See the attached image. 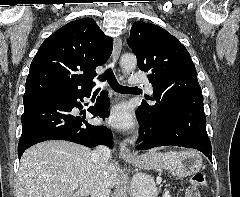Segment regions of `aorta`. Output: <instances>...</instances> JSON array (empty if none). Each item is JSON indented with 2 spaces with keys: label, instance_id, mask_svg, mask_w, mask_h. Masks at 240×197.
Instances as JSON below:
<instances>
[{
  "label": "aorta",
  "instance_id": "aorta-1",
  "mask_svg": "<svg viewBox=\"0 0 240 197\" xmlns=\"http://www.w3.org/2000/svg\"><path fill=\"white\" fill-rule=\"evenodd\" d=\"M121 67L125 74L131 73L137 66V58L133 54H124L121 57ZM142 184H143V193L142 196L145 197L147 193L150 192V188L152 186L150 179L148 177H142ZM126 197V196H124Z\"/></svg>",
  "mask_w": 240,
  "mask_h": 197
}]
</instances>
